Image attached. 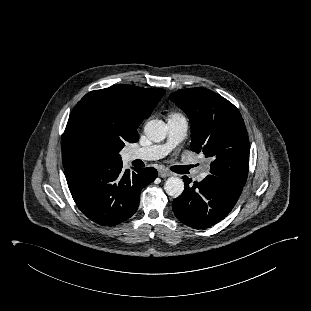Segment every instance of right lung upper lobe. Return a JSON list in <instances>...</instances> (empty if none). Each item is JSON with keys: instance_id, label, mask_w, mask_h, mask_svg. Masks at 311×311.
<instances>
[{"instance_id": "cb5924a9", "label": "right lung upper lobe", "mask_w": 311, "mask_h": 311, "mask_svg": "<svg viewBox=\"0 0 311 311\" xmlns=\"http://www.w3.org/2000/svg\"><path fill=\"white\" fill-rule=\"evenodd\" d=\"M164 94L163 89L119 84L87 93L73 111L83 106H96L124 143H135L138 126L150 116Z\"/></svg>"}]
</instances>
